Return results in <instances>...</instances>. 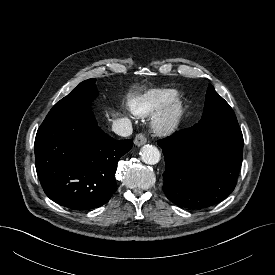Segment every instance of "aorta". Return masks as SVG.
Wrapping results in <instances>:
<instances>
[{
    "label": "aorta",
    "instance_id": "aorta-1",
    "mask_svg": "<svg viewBox=\"0 0 275 275\" xmlns=\"http://www.w3.org/2000/svg\"><path fill=\"white\" fill-rule=\"evenodd\" d=\"M141 160L149 165H155L160 161L161 154L157 147L144 145L140 150Z\"/></svg>",
    "mask_w": 275,
    "mask_h": 275
}]
</instances>
